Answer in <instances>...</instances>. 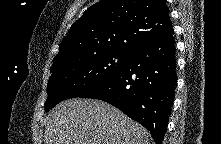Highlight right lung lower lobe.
<instances>
[{
  "mask_svg": "<svg viewBox=\"0 0 221 144\" xmlns=\"http://www.w3.org/2000/svg\"><path fill=\"white\" fill-rule=\"evenodd\" d=\"M173 32L136 49L114 76L80 98L110 103L146 127L155 143L161 144L177 79Z\"/></svg>",
  "mask_w": 221,
  "mask_h": 144,
  "instance_id": "98d812e1",
  "label": "right lung lower lobe"
}]
</instances>
